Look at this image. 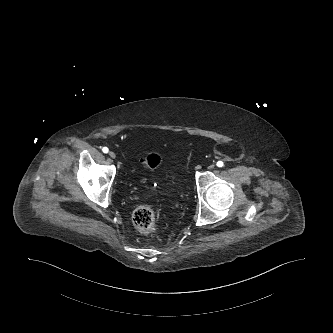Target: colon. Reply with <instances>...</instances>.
<instances>
[{"label":"colon","instance_id":"obj_1","mask_svg":"<svg viewBox=\"0 0 333 333\" xmlns=\"http://www.w3.org/2000/svg\"><path fill=\"white\" fill-rule=\"evenodd\" d=\"M161 163V157L156 153H150L144 160L147 168L154 169ZM134 227L142 233H153L157 228V221L154 211L147 206L138 207L132 215Z\"/></svg>","mask_w":333,"mask_h":333}]
</instances>
